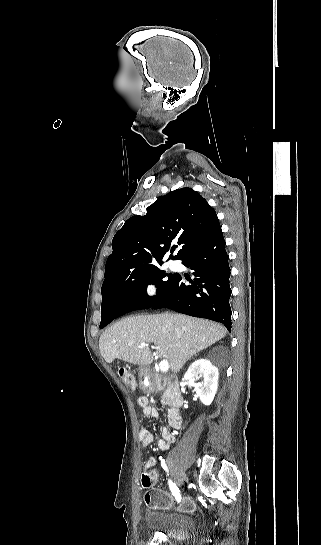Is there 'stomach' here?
I'll return each instance as SVG.
<instances>
[{
  "mask_svg": "<svg viewBox=\"0 0 321 545\" xmlns=\"http://www.w3.org/2000/svg\"><path fill=\"white\" fill-rule=\"evenodd\" d=\"M137 371H138L139 377L141 379V381H140L141 387H144L143 379H144V377H147V375L149 373V369H148V367H138Z\"/></svg>",
  "mask_w": 321,
  "mask_h": 545,
  "instance_id": "0dacf381",
  "label": "stomach"
}]
</instances>
